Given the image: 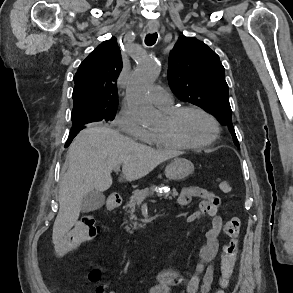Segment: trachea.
<instances>
[{
	"label": "trachea",
	"mask_w": 293,
	"mask_h": 293,
	"mask_svg": "<svg viewBox=\"0 0 293 293\" xmlns=\"http://www.w3.org/2000/svg\"><path fill=\"white\" fill-rule=\"evenodd\" d=\"M157 37H158L157 33L148 34L145 38L146 45L151 46L155 44Z\"/></svg>",
	"instance_id": "obj_1"
}]
</instances>
